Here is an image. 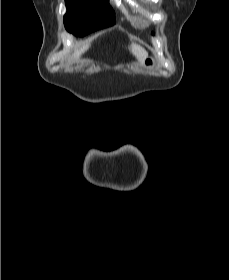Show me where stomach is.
Segmentation results:
<instances>
[{"label": "stomach", "mask_w": 229, "mask_h": 280, "mask_svg": "<svg viewBox=\"0 0 229 280\" xmlns=\"http://www.w3.org/2000/svg\"><path fill=\"white\" fill-rule=\"evenodd\" d=\"M143 65H144L146 68L153 69V68H155V66H156V61H155L154 58L147 57V58L144 60Z\"/></svg>", "instance_id": "obj_1"}]
</instances>
